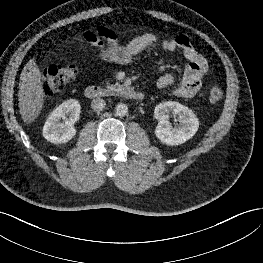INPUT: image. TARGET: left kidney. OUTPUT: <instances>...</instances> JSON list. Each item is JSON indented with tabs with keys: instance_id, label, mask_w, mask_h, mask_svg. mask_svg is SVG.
<instances>
[{
	"instance_id": "obj_1",
	"label": "left kidney",
	"mask_w": 263,
	"mask_h": 263,
	"mask_svg": "<svg viewBox=\"0 0 263 263\" xmlns=\"http://www.w3.org/2000/svg\"><path fill=\"white\" fill-rule=\"evenodd\" d=\"M178 116L180 126L173 128L168 121V113ZM154 117L159 121L156 137L167 145H180L191 139L198 130L199 121L191 109L175 101L162 102L156 105Z\"/></svg>"
}]
</instances>
